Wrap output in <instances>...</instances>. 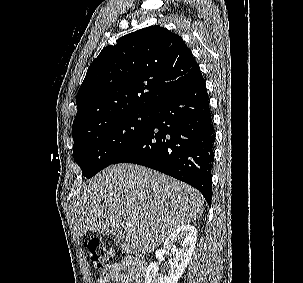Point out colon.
Instances as JSON below:
<instances>
[{
  "label": "colon",
  "mask_w": 303,
  "mask_h": 283,
  "mask_svg": "<svg viewBox=\"0 0 303 283\" xmlns=\"http://www.w3.org/2000/svg\"><path fill=\"white\" fill-rule=\"evenodd\" d=\"M86 251L90 264L96 271H105L110 262L116 257L114 247L99 238L90 239L86 243Z\"/></svg>",
  "instance_id": "1"
}]
</instances>
